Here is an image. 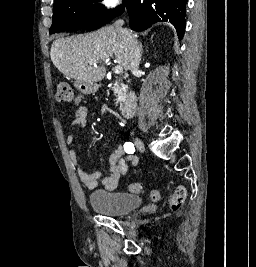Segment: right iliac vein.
I'll return each instance as SVG.
<instances>
[{
	"label": "right iliac vein",
	"instance_id": "obj_1",
	"mask_svg": "<svg viewBox=\"0 0 256 267\" xmlns=\"http://www.w3.org/2000/svg\"><path fill=\"white\" fill-rule=\"evenodd\" d=\"M134 144H135V146L137 147L138 150H140V151H144L145 150L144 142L139 137H135L134 138Z\"/></svg>",
	"mask_w": 256,
	"mask_h": 267
}]
</instances>
